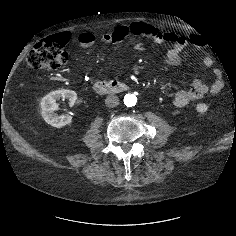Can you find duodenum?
I'll list each match as a JSON object with an SVG mask.
<instances>
[{
	"mask_svg": "<svg viewBox=\"0 0 236 236\" xmlns=\"http://www.w3.org/2000/svg\"><path fill=\"white\" fill-rule=\"evenodd\" d=\"M128 85L121 81H97L93 90L100 95L114 94L126 91Z\"/></svg>",
	"mask_w": 236,
	"mask_h": 236,
	"instance_id": "duodenum-1",
	"label": "duodenum"
}]
</instances>
